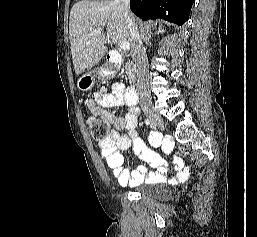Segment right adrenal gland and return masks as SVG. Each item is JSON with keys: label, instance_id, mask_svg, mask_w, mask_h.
Listing matches in <instances>:
<instances>
[{"label": "right adrenal gland", "instance_id": "right-adrenal-gland-1", "mask_svg": "<svg viewBox=\"0 0 257 237\" xmlns=\"http://www.w3.org/2000/svg\"><path fill=\"white\" fill-rule=\"evenodd\" d=\"M163 32H165V30L160 27V28L158 29V31L155 32V34L163 33Z\"/></svg>", "mask_w": 257, "mask_h": 237}]
</instances>
